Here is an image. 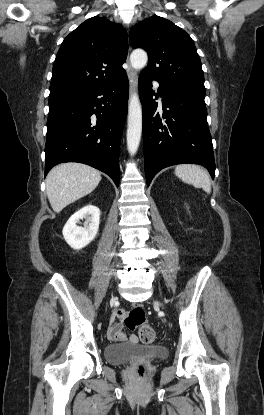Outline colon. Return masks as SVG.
I'll list each match as a JSON object with an SVG mask.
<instances>
[{
    "label": "colon",
    "instance_id": "colon-1",
    "mask_svg": "<svg viewBox=\"0 0 264 415\" xmlns=\"http://www.w3.org/2000/svg\"><path fill=\"white\" fill-rule=\"evenodd\" d=\"M144 321V308L141 305H136L130 310L124 322L129 329L139 328L138 335L142 343L152 344L156 339L155 329L150 325L144 324ZM136 372L138 377H143L145 373V365L139 364Z\"/></svg>",
    "mask_w": 264,
    "mask_h": 415
}]
</instances>
